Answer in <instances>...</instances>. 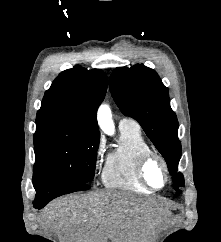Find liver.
Segmentation results:
<instances>
[{
  "label": "liver",
  "mask_w": 221,
  "mask_h": 242,
  "mask_svg": "<svg viewBox=\"0 0 221 242\" xmlns=\"http://www.w3.org/2000/svg\"><path fill=\"white\" fill-rule=\"evenodd\" d=\"M163 203L121 191L69 195L51 202L41 223L61 242H150Z\"/></svg>",
  "instance_id": "obj_1"
}]
</instances>
